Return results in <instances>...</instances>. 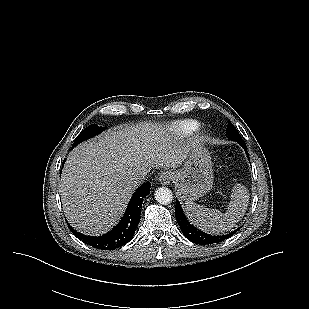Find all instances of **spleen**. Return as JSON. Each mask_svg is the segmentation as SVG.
Listing matches in <instances>:
<instances>
[{"mask_svg":"<svg viewBox=\"0 0 309 309\" xmlns=\"http://www.w3.org/2000/svg\"><path fill=\"white\" fill-rule=\"evenodd\" d=\"M249 203V194L242 184H236L231 193L227 211L209 209L203 205L187 202L185 209L192 223L210 234L230 231L244 216Z\"/></svg>","mask_w":309,"mask_h":309,"instance_id":"3e777b00","label":"spleen"}]
</instances>
